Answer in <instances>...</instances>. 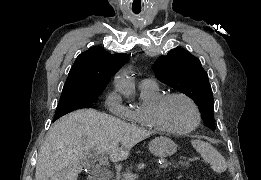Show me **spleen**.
<instances>
[{
	"mask_svg": "<svg viewBox=\"0 0 261 180\" xmlns=\"http://www.w3.org/2000/svg\"><path fill=\"white\" fill-rule=\"evenodd\" d=\"M191 144L196 152L201 154V158L210 164L213 172L222 174V172L227 170L225 158H223L211 144H208V142H201V140H192Z\"/></svg>",
	"mask_w": 261,
	"mask_h": 180,
	"instance_id": "spleen-1",
	"label": "spleen"
}]
</instances>
